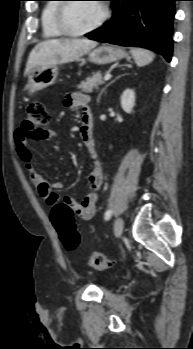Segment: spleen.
<instances>
[{"mask_svg": "<svg viewBox=\"0 0 193 349\" xmlns=\"http://www.w3.org/2000/svg\"><path fill=\"white\" fill-rule=\"evenodd\" d=\"M132 56L137 66L143 67L151 63L155 57V54L146 49L133 48L131 49Z\"/></svg>", "mask_w": 193, "mask_h": 349, "instance_id": "spleen-1", "label": "spleen"}]
</instances>
